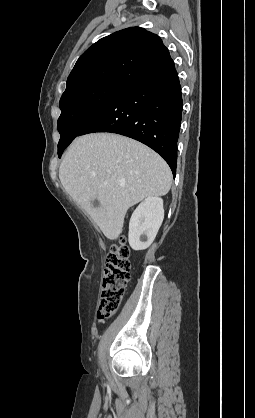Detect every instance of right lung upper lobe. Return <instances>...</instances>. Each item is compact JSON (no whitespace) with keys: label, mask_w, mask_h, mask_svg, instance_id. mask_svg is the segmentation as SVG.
<instances>
[{"label":"right lung upper lobe","mask_w":255,"mask_h":418,"mask_svg":"<svg viewBox=\"0 0 255 418\" xmlns=\"http://www.w3.org/2000/svg\"><path fill=\"white\" fill-rule=\"evenodd\" d=\"M174 65L159 36L140 27H130L106 36L77 60L66 90L96 81L130 83Z\"/></svg>","instance_id":"cb5924a9"}]
</instances>
